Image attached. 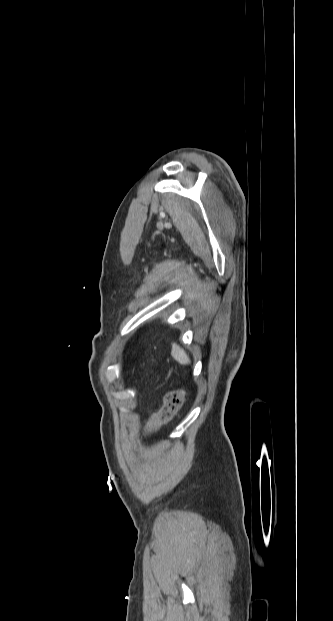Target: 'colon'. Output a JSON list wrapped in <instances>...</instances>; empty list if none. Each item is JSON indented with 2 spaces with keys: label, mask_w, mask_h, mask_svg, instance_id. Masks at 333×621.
<instances>
[{
  "label": "colon",
  "mask_w": 333,
  "mask_h": 621,
  "mask_svg": "<svg viewBox=\"0 0 333 621\" xmlns=\"http://www.w3.org/2000/svg\"><path fill=\"white\" fill-rule=\"evenodd\" d=\"M183 396L184 391L182 389L168 392L163 399L161 408L147 422L146 433H151L166 423L180 407Z\"/></svg>",
  "instance_id": "1"
}]
</instances>
